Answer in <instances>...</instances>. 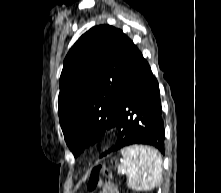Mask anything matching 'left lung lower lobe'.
<instances>
[{
  "instance_id": "left-lung-lower-lobe-1",
  "label": "left lung lower lobe",
  "mask_w": 221,
  "mask_h": 193,
  "mask_svg": "<svg viewBox=\"0 0 221 193\" xmlns=\"http://www.w3.org/2000/svg\"><path fill=\"white\" fill-rule=\"evenodd\" d=\"M117 117V142L101 157L135 144L154 146L164 154L165 131L159 85L139 50L120 86Z\"/></svg>"
}]
</instances>
